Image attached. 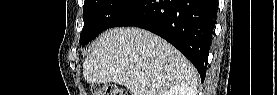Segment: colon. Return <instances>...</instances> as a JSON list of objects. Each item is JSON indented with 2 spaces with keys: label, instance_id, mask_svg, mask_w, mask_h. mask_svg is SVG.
Returning <instances> with one entry per match:
<instances>
[{
  "label": "colon",
  "instance_id": "1",
  "mask_svg": "<svg viewBox=\"0 0 277 95\" xmlns=\"http://www.w3.org/2000/svg\"><path fill=\"white\" fill-rule=\"evenodd\" d=\"M92 95H126L129 94L125 88H117L115 86H107L104 84H94L91 87Z\"/></svg>",
  "mask_w": 277,
  "mask_h": 95
}]
</instances>
